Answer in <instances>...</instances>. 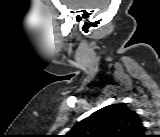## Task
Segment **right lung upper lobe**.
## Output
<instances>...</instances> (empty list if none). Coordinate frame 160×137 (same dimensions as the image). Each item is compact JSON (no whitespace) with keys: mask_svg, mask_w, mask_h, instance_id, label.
<instances>
[{"mask_svg":"<svg viewBox=\"0 0 160 137\" xmlns=\"http://www.w3.org/2000/svg\"><path fill=\"white\" fill-rule=\"evenodd\" d=\"M145 131L137 113L125 104L99 109L77 123L70 137H141Z\"/></svg>","mask_w":160,"mask_h":137,"instance_id":"1","label":"right lung upper lobe"}]
</instances>
